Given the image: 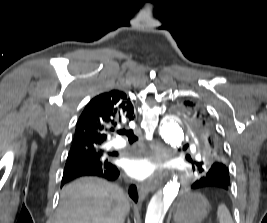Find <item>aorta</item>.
Returning a JSON list of instances; mask_svg holds the SVG:
<instances>
[{"instance_id":"1","label":"aorta","mask_w":267,"mask_h":223,"mask_svg":"<svg viewBox=\"0 0 267 223\" xmlns=\"http://www.w3.org/2000/svg\"><path fill=\"white\" fill-rule=\"evenodd\" d=\"M162 139L173 148L180 147L184 139L181 121L177 116L169 115L163 119L160 126ZM180 183L177 176H174L163 188L158 191L150 200L145 223H163L165 214L180 193Z\"/></svg>"}]
</instances>
